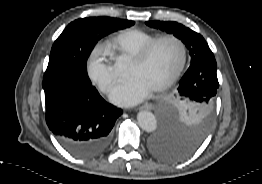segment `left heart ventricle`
Masks as SVG:
<instances>
[{"label":"left heart ventricle","mask_w":262,"mask_h":184,"mask_svg":"<svg viewBox=\"0 0 262 184\" xmlns=\"http://www.w3.org/2000/svg\"><path fill=\"white\" fill-rule=\"evenodd\" d=\"M182 58L180 46L166 40L156 46L150 57L142 64L130 62L128 76H137L152 89L166 81L177 69Z\"/></svg>","instance_id":"obj_1"}]
</instances>
